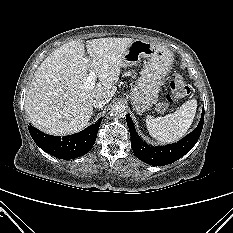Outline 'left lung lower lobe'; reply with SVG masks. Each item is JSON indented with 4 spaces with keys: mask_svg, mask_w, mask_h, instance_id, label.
Wrapping results in <instances>:
<instances>
[{
    "mask_svg": "<svg viewBox=\"0 0 233 233\" xmlns=\"http://www.w3.org/2000/svg\"><path fill=\"white\" fill-rule=\"evenodd\" d=\"M126 121L131 136V146L135 156L141 161L154 165L163 166L173 163L187 154L198 141L204 123V109L198 126L177 143L166 146H150L144 142L136 133L133 121L127 114Z\"/></svg>",
    "mask_w": 233,
    "mask_h": 233,
    "instance_id": "left-lung-lower-lobe-1",
    "label": "left lung lower lobe"
}]
</instances>
